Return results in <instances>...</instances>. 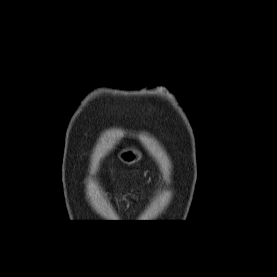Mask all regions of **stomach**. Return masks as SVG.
<instances>
[{
	"mask_svg": "<svg viewBox=\"0 0 277 277\" xmlns=\"http://www.w3.org/2000/svg\"><path fill=\"white\" fill-rule=\"evenodd\" d=\"M118 157L124 163L133 164L138 162L141 159L142 155L137 149L133 147H128L123 149L118 154Z\"/></svg>",
	"mask_w": 277,
	"mask_h": 277,
	"instance_id": "1",
	"label": "stomach"
}]
</instances>
